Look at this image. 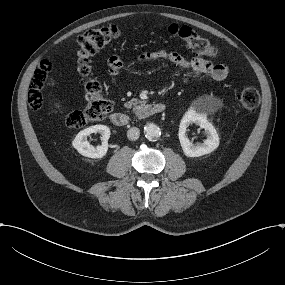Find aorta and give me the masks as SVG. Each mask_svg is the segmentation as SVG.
Here are the masks:
<instances>
[{
	"mask_svg": "<svg viewBox=\"0 0 285 285\" xmlns=\"http://www.w3.org/2000/svg\"><path fill=\"white\" fill-rule=\"evenodd\" d=\"M144 133H145V137L148 140H155V139L159 138L161 135L160 128L154 123H148L144 127Z\"/></svg>",
	"mask_w": 285,
	"mask_h": 285,
	"instance_id": "obj_1",
	"label": "aorta"
}]
</instances>
